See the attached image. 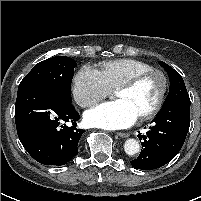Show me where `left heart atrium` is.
I'll list each match as a JSON object with an SVG mask.
<instances>
[{"label": "left heart atrium", "instance_id": "1", "mask_svg": "<svg viewBox=\"0 0 201 201\" xmlns=\"http://www.w3.org/2000/svg\"><path fill=\"white\" fill-rule=\"evenodd\" d=\"M138 118L135 111L123 100L103 103L84 115L86 124L107 130L128 128Z\"/></svg>", "mask_w": 201, "mask_h": 201}]
</instances>
